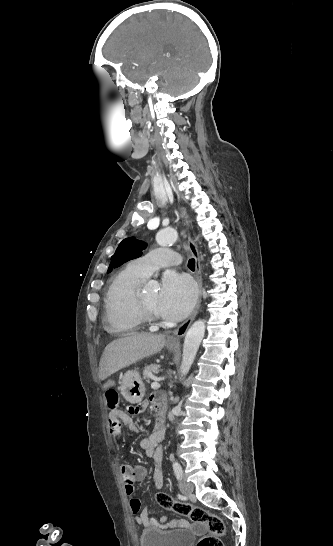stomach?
Returning <instances> with one entry per match:
<instances>
[{"instance_id":"stomach-1","label":"stomach","mask_w":333,"mask_h":546,"mask_svg":"<svg viewBox=\"0 0 333 546\" xmlns=\"http://www.w3.org/2000/svg\"><path fill=\"white\" fill-rule=\"evenodd\" d=\"M169 350L174 351L175 346L167 344ZM121 394L125 400L132 404L140 403L144 397L145 386L139 372L135 370L127 371L121 379Z\"/></svg>"}]
</instances>
